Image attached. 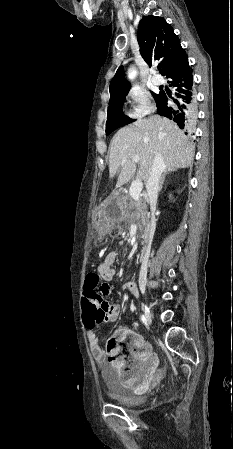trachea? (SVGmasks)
<instances>
[{"label":"trachea","instance_id":"3493384b","mask_svg":"<svg viewBox=\"0 0 233 449\" xmlns=\"http://www.w3.org/2000/svg\"><path fill=\"white\" fill-rule=\"evenodd\" d=\"M157 68H158V70H161V65H158V67H157Z\"/></svg>","mask_w":233,"mask_h":449}]
</instances>
